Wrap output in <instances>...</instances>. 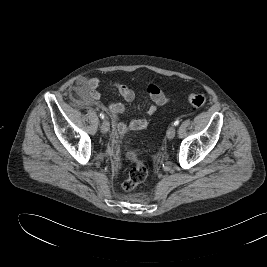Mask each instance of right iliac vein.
Wrapping results in <instances>:
<instances>
[{
    "label": "right iliac vein",
    "instance_id": "obj_1",
    "mask_svg": "<svg viewBox=\"0 0 267 267\" xmlns=\"http://www.w3.org/2000/svg\"><path fill=\"white\" fill-rule=\"evenodd\" d=\"M110 129V124L109 122L105 119L103 120L102 124H101V131L102 133H107Z\"/></svg>",
    "mask_w": 267,
    "mask_h": 267
}]
</instances>
